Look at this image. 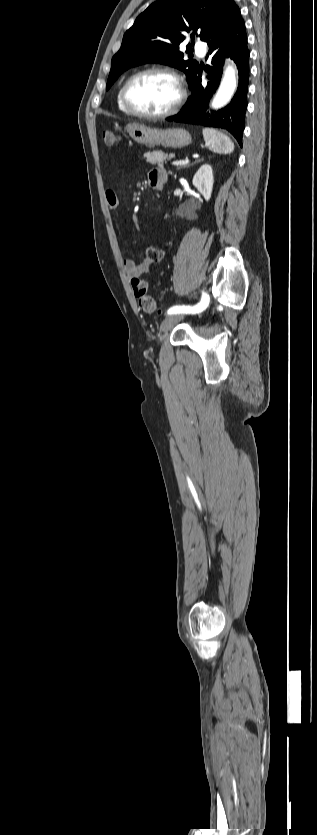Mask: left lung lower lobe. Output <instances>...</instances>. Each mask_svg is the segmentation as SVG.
Wrapping results in <instances>:
<instances>
[{
	"label": "left lung lower lobe",
	"mask_w": 317,
	"mask_h": 835,
	"mask_svg": "<svg viewBox=\"0 0 317 835\" xmlns=\"http://www.w3.org/2000/svg\"><path fill=\"white\" fill-rule=\"evenodd\" d=\"M223 24L207 41L212 60L207 66L206 73L210 80L202 86V68L199 66L189 82L192 95L188 98L183 109L175 116L168 117V121L200 124L228 130L242 146V132L245 127V112L247 108V92L249 79V55L245 23L240 10L234 0H229L225 9ZM225 57H231L239 70V85L230 104L225 108L209 114L207 105L216 91L222 75ZM205 70V68L203 67Z\"/></svg>",
	"instance_id": "1"
}]
</instances>
